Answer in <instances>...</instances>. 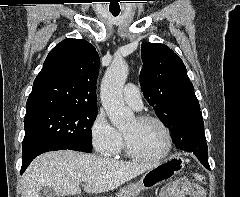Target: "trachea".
Here are the masks:
<instances>
[{
	"label": "trachea",
	"instance_id": "trachea-1",
	"mask_svg": "<svg viewBox=\"0 0 240 197\" xmlns=\"http://www.w3.org/2000/svg\"><path fill=\"white\" fill-rule=\"evenodd\" d=\"M113 16H118L119 12H112Z\"/></svg>",
	"mask_w": 240,
	"mask_h": 197
}]
</instances>
